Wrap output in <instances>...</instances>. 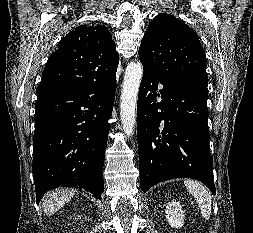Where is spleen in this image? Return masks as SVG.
<instances>
[{
    "label": "spleen",
    "mask_w": 253,
    "mask_h": 233,
    "mask_svg": "<svg viewBox=\"0 0 253 233\" xmlns=\"http://www.w3.org/2000/svg\"><path fill=\"white\" fill-rule=\"evenodd\" d=\"M184 184L198 203L203 218L209 219L212 200L206 187L200 182L194 180H185Z\"/></svg>",
    "instance_id": "1"
}]
</instances>
